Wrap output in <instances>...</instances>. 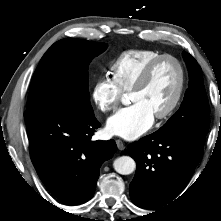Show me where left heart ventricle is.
<instances>
[{"label":"left heart ventricle","mask_w":221,"mask_h":221,"mask_svg":"<svg viewBox=\"0 0 221 221\" xmlns=\"http://www.w3.org/2000/svg\"><path fill=\"white\" fill-rule=\"evenodd\" d=\"M178 82L179 71L176 64L166 60L155 68L142 89L130 94V101L143 104L155 116L169 106Z\"/></svg>","instance_id":"1"}]
</instances>
